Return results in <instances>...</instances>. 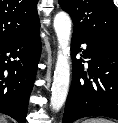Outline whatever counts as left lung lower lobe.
<instances>
[{"mask_svg":"<svg viewBox=\"0 0 118 123\" xmlns=\"http://www.w3.org/2000/svg\"><path fill=\"white\" fill-rule=\"evenodd\" d=\"M81 44L87 45L83 51ZM81 51V58L76 59ZM71 56L72 83L62 123H73L88 116L118 120V46L73 32ZM82 62L88 63L87 71Z\"/></svg>","mask_w":118,"mask_h":123,"instance_id":"0a47b994","label":"left lung lower lobe"}]
</instances>
